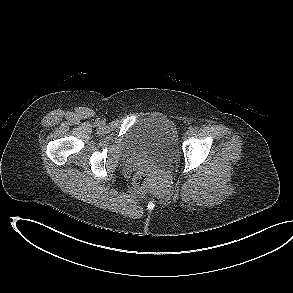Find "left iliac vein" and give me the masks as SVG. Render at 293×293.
<instances>
[{"label": "left iliac vein", "mask_w": 293, "mask_h": 293, "mask_svg": "<svg viewBox=\"0 0 293 293\" xmlns=\"http://www.w3.org/2000/svg\"><path fill=\"white\" fill-rule=\"evenodd\" d=\"M192 133H193L192 129H189V130L186 132V135H187V136H190Z\"/></svg>", "instance_id": "1"}]
</instances>
